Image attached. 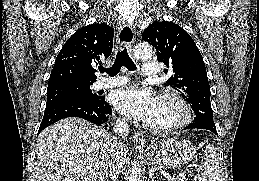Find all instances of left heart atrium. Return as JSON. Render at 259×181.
Here are the masks:
<instances>
[{
	"label": "left heart atrium",
	"mask_w": 259,
	"mask_h": 181,
	"mask_svg": "<svg viewBox=\"0 0 259 181\" xmlns=\"http://www.w3.org/2000/svg\"><path fill=\"white\" fill-rule=\"evenodd\" d=\"M111 102L120 113L146 122L151 120L158 105V99L150 89L136 85L115 91Z\"/></svg>",
	"instance_id": "obj_1"
}]
</instances>
